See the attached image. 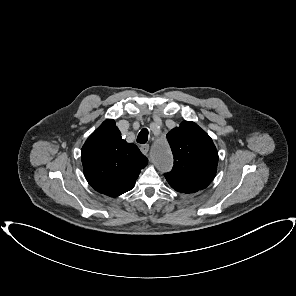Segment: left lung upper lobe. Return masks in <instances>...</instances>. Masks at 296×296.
I'll list each match as a JSON object with an SVG mask.
<instances>
[{
    "mask_svg": "<svg viewBox=\"0 0 296 296\" xmlns=\"http://www.w3.org/2000/svg\"><path fill=\"white\" fill-rule=\"evenodd\" d=\"M167 139L174 156V166L164 176L180 193L191 194L205 189L213 180L218 152L211 137L197 124L183 121L173 128Z\"/></svg>",
    "mask_w": 296,
    "mask_h": 296,
    "instance_id": "left-lung-upper-lobe-1",
    "label": "left lung upper lobe"
}]
</instances>
